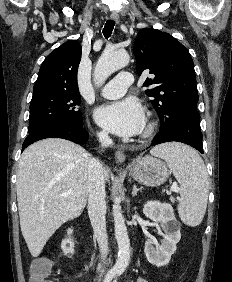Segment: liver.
I'll use <instances>...</instances> for the list:
<instances>
[{
  "instance_id": "liver-1",
  "label": "liver",
  "mask_w": 232,
  "mask_h": 282,
  "mask_svg": "<svg viewBox=\"0 0 232 282\" xmlns=\"http://www.w3.org/2000/svg\"><path fill=\"white\" fill-rule=\"evenodd\" d=\"M90 155L65 139L49 138L29 146L19 161L17 201L22 235L33 257L66 221L78 217L88 197ZM108 180V170H103ZM70 193L67 197L62 193Z\"/></svg>"
}]
</instances>
